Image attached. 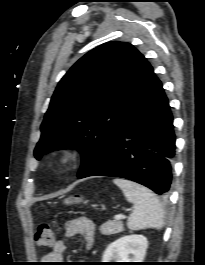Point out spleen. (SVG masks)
<instances>
[{"instance_id":"obj_1","label":"spleen","mask_w":205,"mask_h":265,"mask_svg":"<svg viewBox=\"0 0 205 265\" xmlns=\"http://www.w3.org/2000/svg\"><path fill=\"white\" fill-rule=\"evenodd\" d=\"M113 182L121 188L126 199L134 204V210L127 221V227L130 230L162 229L164 210L156 194L130 180L116 178Z\"/></svg>"}]
</instances>
